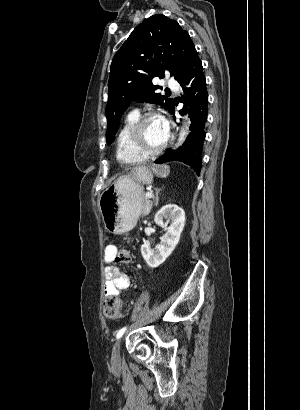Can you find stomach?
<instances>
[{
	"instance_id": "stomach-1",
	"label": "stomach",
	"mask_w": 300,
	"mask_h": 410,
	"mask_svg": "<svg viewBox=\"0 0 300 410\" xmlns=\"http://www.w3.org/2000/svg\"><path fill=\"white\" fill-rule=\"evenodd\" d=\"M153 174L166 177L169 167L135 168L130 175L118 178L100 195L98 205L104 227L109 233L123 234L134 228L144 200L141 184H151Z\"/></svg>"
}]
</instances>
